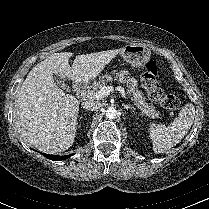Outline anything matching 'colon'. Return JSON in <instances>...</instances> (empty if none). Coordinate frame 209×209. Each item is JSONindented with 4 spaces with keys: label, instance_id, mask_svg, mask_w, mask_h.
<instances>
[{
    "label": "colon",
    "instance_id": "1",
    "mask_svg": "<svg viewBox=\"0 0 209 209\" xmlns=\"http://www.w3.org/2000/svg\"><path fill=\"white\" fill-rule=\"evenodd\" d=\"M142 84L149 97L168 110H176L180 107V100L173 94H165L158 80V67L154 60H149L142 75Z\"/></svg>",
    "mask_w": 209,
    "mask_h": 209
}]
</instances>
